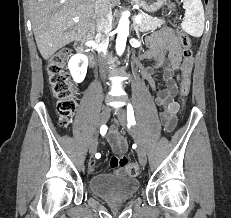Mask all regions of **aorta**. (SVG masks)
<instances>
[{
    "label": "aorta",
    "mask_w": 231,
    "mask_h": 218,
    "mask_svg": "<svg viewBox=\"0 0 231 218\" xmlns=\"http://www.w3.org/2000/svg\"><path fill=\"white\" fill-rule=\"evenodd\" d=\"M117 33L116 52L120 56L125 50L127 37L129 35V19L127 15H123L120 18Z\"/></svg>",
    "instance_id": "aorta-1"
}]
</instances>
